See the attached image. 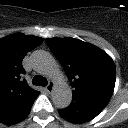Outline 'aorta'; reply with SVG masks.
<instances>
[{"label":"aorta","instance_id":"1","mask_svg":"<svg viewBox=\"0 0 128 128\" xmlns=\"http://www.w3.org/2000/svg\"><path fill=\"white\" fill-rule=\"evenodd\" d=\"M31 61L38 72L55 80L56 88L52 96L54 105L60 109L68 107L72 101V91L64 82L62 72L53 56L46 51L39 50L31 55Z\"/></svg>","mask_w":128,"mask_h":128}]
</instances>
